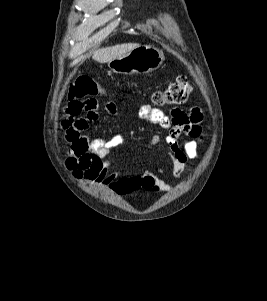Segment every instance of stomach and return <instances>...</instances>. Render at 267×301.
<instances>
[{"mask_svg": "<svg viewBox=\"0 0 267 301\" xmlns=\"http://www.w3.org/2000/svg\"><path fill=\"white\" fill-rule=\"evenodd\" d=\"M163 61L161 50L150 45H140L108 62V67L119 74H147L158 69Z\"/></svg>", "mask_w": 267, "mask_h": 301, "instance_id": "stomach-1", "label": "stomach"}]
</instances>
